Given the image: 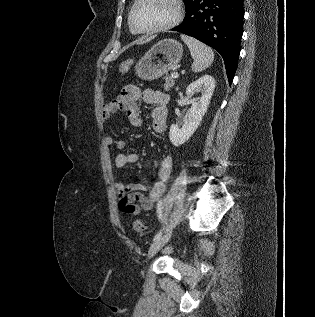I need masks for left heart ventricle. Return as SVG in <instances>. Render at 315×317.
<instances>
[{
  "label": "left heart ventricle",
  "instance_id": "1",
  "mask_svg": "<svg viewBox=\"0 0 315 317\" xmlns=\"http://www.w3.org/2000/svg\"><path fill=\"white\" fill-rule=\"evenodd\" d=\"M175 14L172 0H142L135 10V23L141 29L169 22Z\"/></svg>",
  "mask_w": 315,
  "mask_h": 317
}]
</instances>
